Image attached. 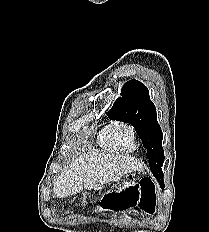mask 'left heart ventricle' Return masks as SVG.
I'll return each mask as SVG.
<instances>
[{
    "label": "left heart ventricle",
    "mask_w": 209,
    "mask_h": 232,
    "mask_svg": "<svg viewBox=\"0 0 209 232\" xmlns=\"http://www.w3.org/2000/svg\"><path fill=\"white\" fill-rule=\"evenodd\" d=\"M122 140H123L124 144L126 145V147L133 148L134 144H133V142L128 134H123Z\"/></svg>",
    "instance_id": "obj_1"
}]
</instances>
